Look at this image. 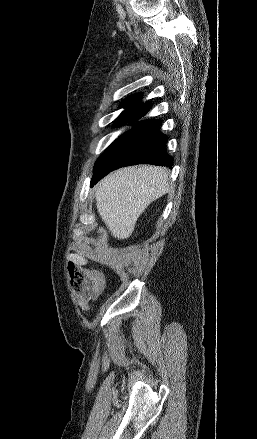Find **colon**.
Listing matches in <instances>:
<instances>
[{"label": "colon", "instance_id": "5ec220e1", "mask_svg": "<svg viewBox=\"0 0 257 439\" xmlns=\"http://www.w3.org/2000/svg\"><path fill=\"white\" fill-rule=\"evenodd\" d=\"M70 282L73 290L79 296L83 307L89 299L97 298L105 286L104 276L97 270L68 266Z\"/></svg>", "mask_w": 257, "mask_h": 439}]
</instances>
